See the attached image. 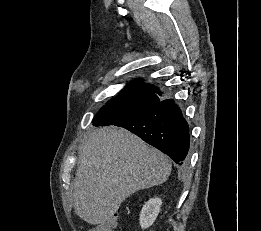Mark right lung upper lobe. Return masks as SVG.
Instances as JSON below:
<instances>
[{"mask_svg": "<svg viewBox=\"0 0 261 231\" xmlns=\"http://www.w3.org/2000/svg\"><path fill=\"white\" fill-rule=\"evenodd\" d=\"M126 88H138L154 95H162L159 89L155 88V86L150 84H144L141 80H135L134 82H131L129 85L126 86Z\"/></svg>", "mask_w": 261, "mask_h": 231, "instance_id": "1", "label": "right lung upper lobe"}]
</instances>
